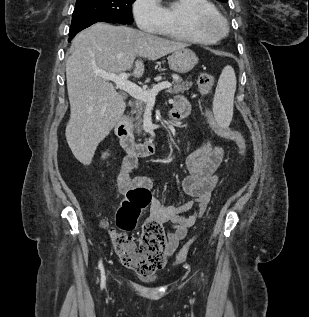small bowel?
Here are the masks:
<instances>
[{"label": "small bowel", "mask_w": 309, "mask_h": 317, "mask_svg": "<svg viewBox=\"0 0 309 317\" xmlns=\"http://www.w3.org/2000/svg\"><path fill=\"white\" fill-rule=\"evenodd\" d=\"M189 113L188 100L183 96H177L173 101L171 117L174 120H181ZM223 155V149L213 145L209 140H204L202 145L189 155L186 161L188 174L182 181V188L192 198L191 201L165 206L157 194L151 195L150 219L172 224V230L167 235V255L174 253L180 241L186 237L188 228L205 214L218 182V169ZM137 164L136 157L127 155L123 159L117 176L120 193L127 194L130 190L137 188L146 189L150 193L153 190V183L148 177L132 175Z\"/></svg>", "instance_id": "1"}]
</instances>
